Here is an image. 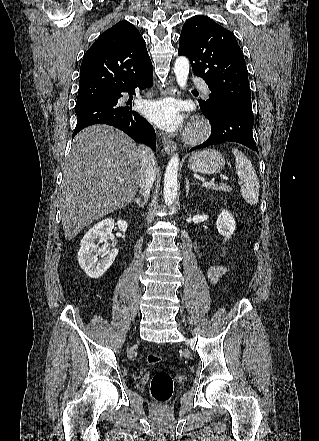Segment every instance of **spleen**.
I'll use <instances>...</instances> for the list:
<instances>
[{"label":"spleen","instance_id":"spleen-1","mask_svg":"<svg viewBox=\"0 0 319 441\" xmlns=\"http://www.w3.org/2000/svg\"><path fill=\"white\" fill-rule=\"evenodd\" d=\"M235 156V168L238 178L243 182L240 189L244 200L250 205H255L259 200V179L248 157L238 149H232Z\"/></svg>","mask_w":319,"mask_h":441}]
</instances>
